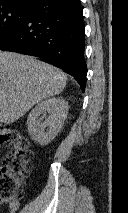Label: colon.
<instances>
[{"label": "colon", "instance_id": "obj_1", "mask_svg": "<svg viewBox=\"0 0 128 213\" xmlns=\"http://www.w3.org/2000/svg\"><path fill=\"white\" fill-rule=\"evenodd\" d=\"M0 144L10 149L0 165V204H3L22 197V184L29 176L33 153L27 139L17 129L4 123H0Z\"/></svg>", "mask_w": 128, "mask_h": 213}]
</instances>
